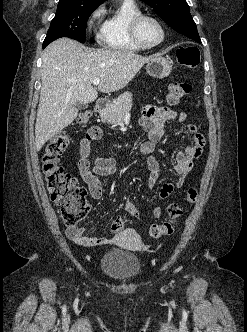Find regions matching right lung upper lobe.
<instances>
[{
    "mask_svg": "<svg viewBox=\"0 0 247 332\" xmlns=\"http://www.w3.org/2000/svg\"><path fill=\"white\" fill-rule=\"evenodd\" d=\"M80 1H91V2H96V3H103L106 0H80Z\"/></svg>",
    "mask_w": 247,
    "mask_h": 332,
    "instance_id": "cb5924a9",
    "label": "right lung upper lobe"
}]
</instances>
